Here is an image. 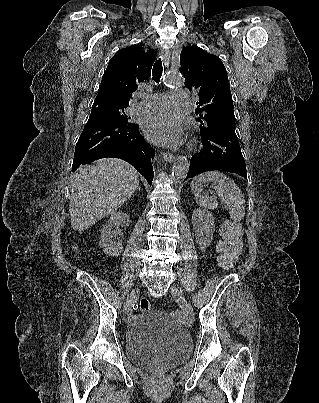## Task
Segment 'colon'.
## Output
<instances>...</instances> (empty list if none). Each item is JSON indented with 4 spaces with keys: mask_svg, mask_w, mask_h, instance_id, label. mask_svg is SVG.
<instances>
[{
    "mask_svg": "<svg viewBox=\"0 0 319 403\" xmlns=\"http://www.w3.org/2000/svg\"><path fill=\"white\" fill-rule=\"evenodd\" d=\"M222 239L217 245L218 261L222 268H230L242 252V231L238 223L227 221L221 227ZM142 312H148L151 308L147 299L139 301Z\"/></svg>",
    "mask_w": 319,
    "mask_h": 403,
    "instance_id": "colon-1",
    "label": "colon"
}]
</instances>
